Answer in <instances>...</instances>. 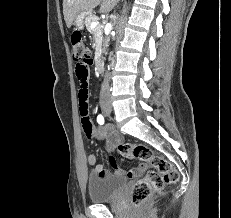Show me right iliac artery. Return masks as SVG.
<instances>
[{
    "label": "right iliac artery",
    "instance_id": "obj_1",
    "mask_svg": "<svg viewBox=\"0 0 231 218\" xmlns=\"http://www.w3.org/2000/svg\"><path fill=\"white\" fill-rule=\"evenodd\" d=\"M97 122L101 125L104 124V117L102 115H98Z\"/></svg>",
    "mask_w": 231,
    "mask_h": 218
}]
</instances>
